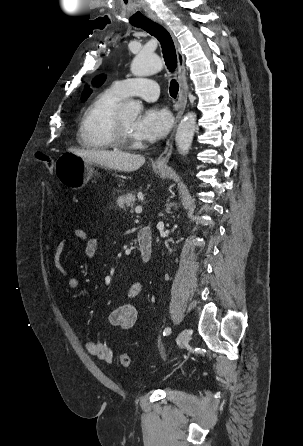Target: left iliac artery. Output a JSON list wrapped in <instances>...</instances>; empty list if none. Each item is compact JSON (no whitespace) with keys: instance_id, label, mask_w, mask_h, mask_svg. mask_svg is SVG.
<instances>
[{"instance_id":"obj_1","label":"left iliac artery","mask_w":303,"mask_h":446,"mask_svg":"<svg viewBox=\"0 0 303 446\" xmlns=\"http://www.w3.org/2000/svg\"><path fill=\"white\" fill-rule=\"evenodd\" d=\"M170 333H171V328H169V327L165 328L164 331H163V335H164V336H167V335H169Z\"/></svg>"}]
</instances>
